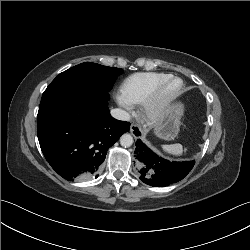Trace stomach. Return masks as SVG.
Listing matches in <instances>:
<instances>
[{"instance_id": "stomach-1", "label": "stomach", "mask_w": 250, "mask_h": 250, "mask_svg": "<svg viewBox=\"0 0 250 250\" xmlns=\"http://www.w3.org/2000/svg\"><path fill=\"white\" fill-rule=\"evenodd\" d=\"M183 112L184 106L182 103L170 105L155 124V134L164 140H173L179 132Z\"/></svg>"}]
</instances>
